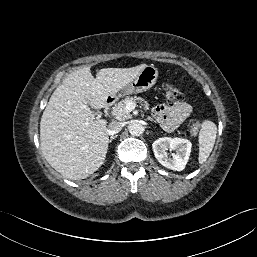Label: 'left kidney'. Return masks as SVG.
Here are the masks:
<instances>
[{"mask_svg":"<svg viewBox=\"0 0 257 257\" xmlns=\"http://www.w3.org/2000/svg\"><path fill=\"white\" fill-rule=\"evenodd\" d=\"M191 147V142L183 138L162 137L152 144L154 155L159 163L174 171H182L185 168ZM168 149L176 151L172 154V158L167 155Z\"/></svg>","mask_w":257,"mask_h":257,"instance_id":"1","label":"left kidney"}]
</instances>
